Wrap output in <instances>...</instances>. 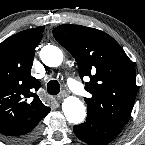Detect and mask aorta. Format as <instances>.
<instances>
[{"label":"aorta","instance_id":"obj_1","mask_svg":"<svg viewBox=\"0 0 145 145\" xmlns=\"http://www.w3.org/2000/svg\"><path fill=\"white\" fill-rule=\"evenodd\" d=\"M41 61L49 67H57L63 62L62 51L53 45L44 46L39 53ZM64 115L69 123L80 124L86 117V107L76 96H68L62 103Z\"/></svg>","mask_w":145,"mask_h":145}]
</instances>
